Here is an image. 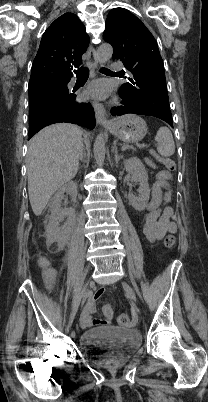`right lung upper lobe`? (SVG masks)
<instances>
[{"label": "right lung upper lobe", "mask_w": 208, "mask_h": 402, "mask_svg": "<svg viewBox=\"0 0 208 402\" xmlns=\"http://www.w3.org/2000/svg\"><path fill=\"white\" fill-rule=\"evenodd\" d=\"M88 45L89 36L80 19L73 13L63 14L42 36L29 83L70 80L71 70L82 64Z\"/></svg>", "instance_id": "right-lung-upper-lobe-1"}]
</instances>
